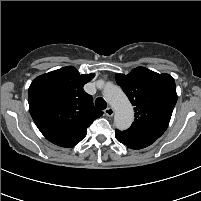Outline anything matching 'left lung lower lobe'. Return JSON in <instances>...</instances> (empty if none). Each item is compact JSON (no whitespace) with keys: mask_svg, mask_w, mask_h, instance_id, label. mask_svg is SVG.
I'll use <instances>...</instances> for the list:
<instances>
[{"mask_svg":"<svg viewBox=\"0 0 201 201\" xmlns=\"http://www.w3.org/2000/svg\"><path fill=\"white\" fill-rule=\"evenodd\" d=\"M115 137L120 143L134 150L145 148L157 140L151 136L134 135L119 130H116Z\"/></svg>","mask_w":201,"mask_h":201,"instance_id":"0a47b994","label":"left lung lower lobe"}]
</instances>
